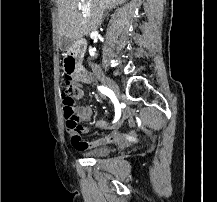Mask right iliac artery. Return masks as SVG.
Returning <instances> with one entry per match:
<instances>
[{
  "label": "right iliac artery",
  "instance_id": "1",
  "mask_svg": "<svg viewBox=\"0 0 217 202\" xmlns=\"http://www.w3.org/2000/svg\"><path fill=\"white\" fill-rule=\"evenodd\" d=\"M98 90L101 93L107 95L110 98L111 102H113L114 107H115V119L113 123H115L121 117V106H120L119 101H117L114 92L110 90L109 88L104 87V86H98Z\"/></svg>",
  "mask_w": 217,
  "mask_h": 202
}]
</instances>
